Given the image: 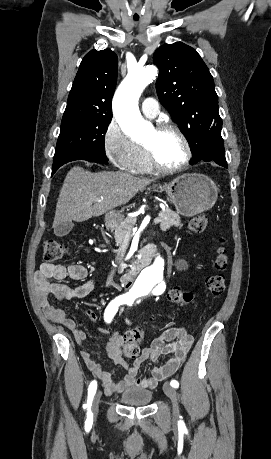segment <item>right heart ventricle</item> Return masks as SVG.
Instances as JSON below:
<instances>
[{
    "instance_id": "e07e8e85",
    "label": "right heart ventricle",
    "mask_w": 271,
    "mask_h": 459,
    "mask_svg": "<svg viewBox=\"0 0 271 459\" xmlns=\"http://www.w3.org/2000/svg\"><path fill=\"white\" fill-rule=\"evenodd\" d=\"M154 165L151 162L144 144L135 143V153L129 165L128 170L134 173H149L154 169Z\"/></svg>"
}]
</instances>
